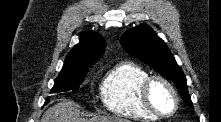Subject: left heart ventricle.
I'll return each instance as SVG.
<instances>
[{
  "label": "left heart ventricle",
  "instance_id": "1",
  "mask_svg": "<svg viewBox=\"0 0 221 122\" xmlns=\"http://www.w3.org/2000/svg\"><path fill=\"white\" fill-rule=\"evenodd\" d=\"M151 99L155 107L162 113H170L174 109V98L170 90L162 83L156 82L151 88Z\"/></svg>",
  "mask_w": 221,
  "mask_h": 122
}]
</instances>
